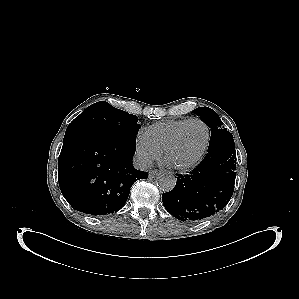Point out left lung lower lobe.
I'll return each mask as SVG.
<instances>
[{"instance_id": "1", "label": "left lung lower lobe", "mask_w": 299, "mask_h": 299, "mask_svg": "<svg viewBox=\"0 0 299 299\" xmlns=\"http://www.w3.org/2000/svg\"><path fill=\"white\" fill-rule=\"evenodd\" d=\"M235 147L211 153L190 174H179L176 186L162 195L166 210L181 221H197L223 209L230 201L236 178Z\"/></svg>"}]
</instances>
